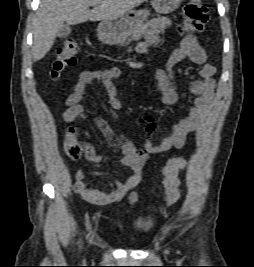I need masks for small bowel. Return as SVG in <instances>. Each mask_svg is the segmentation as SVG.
<instances>
[{
  "instance_id": "obj_1",
  "label": "small bowel",
  "mask_w": 254,
  "mask_h": 267,
  "mask_svg": "<svg viewBox=\"0 0 254 267\" xmlns=\"http://www.w3.org/2000/svg\"><path fill=\"white\" fill-rule=\"evenodd\" d=\"M171 25V20L167 17L154 18L145 33L144 39L137 45L140 52L146 51L151 43L158 40L160 34ZM184 59H189L198 65L200 79L192 80L187 91L182 94L192 95L193 103L188 107L187 115L173 124L169 133L160 141L152 140V134L156 130L155 119L152 116H144L138 119L137 125L143 126L144 138L143 145L138 148L130 138H123L121 142L122 159L120 168L129 169L130 174L122 181L118 182L110 190L90 189L86 186L84 179L88 176H102L106 173L91 171L86 172L78 170L75 172L74 191L80 198L91 204H110L119 202L129 192V202L131 204L137 201L136 187L139 185L142 177V169L150 154L165 153L173 148L180 149L185 146L191 133L196 131L204 120L207 110L212 102L215 88L213 76L216 68L207 62V56L195 36H186L180 46L169 56L164 68L158 69L155 73L158 87L162 93V102L165 105H173L179 100L173 67ZM121 75L117 67H112L103 71H88L80 75L75 83L73 90L66 99L67 109L63 113V119L66 122H74L76 119L84 117V107L81 104L87 87L94 81H100L106 92L108 105L112 110H120L123 107L118 97L115 80ZM95 122L107 135L111 136V130L108 125L100 118ZM103 157L94 153L90 159L93 163L101 162Z\"/></svg>"
}]
</instances>
